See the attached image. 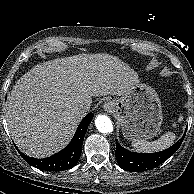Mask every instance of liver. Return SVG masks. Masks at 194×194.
<instances>
[{"label": "liver", "mask_w": 194, "mask_h": 194, "mask_svg": "<svg viewBox=\"0 0 194 194\" xmlns=\"http://www.w3.org/2000/svg\"><path fill=\"white\" fill-rule=\"evenodd\" d=\"M138 74L108 54H79L34 66L14 85L6 104L12 139L25 154L48 157L64 147L92 96L123 95Z\"/></svg>", "instance_id": "liver-1"}]
</instances>
